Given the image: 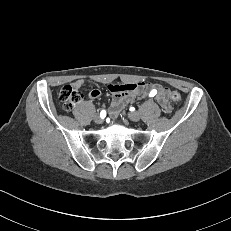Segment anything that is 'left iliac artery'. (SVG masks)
<instances>
[{
    "label": "left iliac artery",
    "mask_w": 231,
    "mask_h": 231,
    "mask_svg": "<svg viewBox=\"0 0 231 231\" xmlns=\"http://www.w3.org/2000/svg\"><path fill=\"white\" fill-rule=\"evenodd\" d=\"M157 94V90L153 89L150 93L149 96L150 97H154Z\"/></svg>",
    "instance_id": "left-iliac-artery-1"
}]
</instances>
